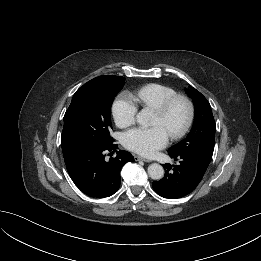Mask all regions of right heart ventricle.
<instances>
[{"instance_id": "e07e8e85", "label": "right heart ventricle", "mask_w": 261, "mask_h": 261, "mask_svg": "<svg viewBox=\"0 0 261 261\" xmlns=\"http://www.w3.org/2000/svg\"><path fill=\"white\" fill-rule=\"evenodd\" d=\"M177 95L175 89L158 83H150L137 89L133 96L142 108L155 110L169 98Z\"/></svg>"}]
</instances>
